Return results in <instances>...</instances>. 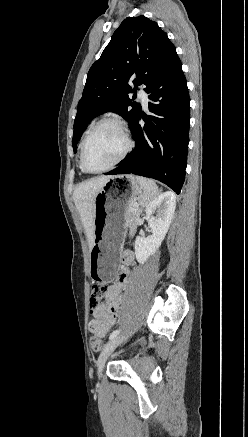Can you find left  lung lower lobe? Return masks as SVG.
<instances>
[{
    "label": "left lung lower lobe",
    "mask_w": 248,
    "mask_h": 437,
    "mask_svg": "<svg viewBox=\"0 0 248 437\" xmlns=\"http://www.w3.org/2000/svg\"><path fill=\"white\" fill-rule=\"evenodd\" d=\"M149 110L141 112L132 128L135 149L108 174H128L159 180L180 193L185 179L190 125L187 81L177 57L147 90ZM144 120L141 127L139 120Z\"/></svg>",
    "instance_id": "left-lung-lower-lobe-1"
}]
</instances>
